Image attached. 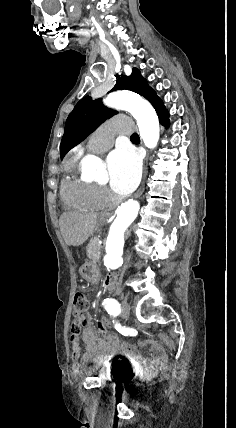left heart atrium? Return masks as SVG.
Masks as SVG:
<instances>
[{"label":"left heart atrium","mask_w":236,"mask_h":428,"mask_svg":"<svg viewBox=\"0 0 236 428\" xmlns=\"http://www.w3.org/2000/svg\"><path fill=\"white\" fill-rule=\"evenodd\" d=\"M109 183L118 194H128L139 184L141 161L132 148H116L107 160Z\"/></svg>","instance_id":"left-heart-atrium-1"}]
</instances>
